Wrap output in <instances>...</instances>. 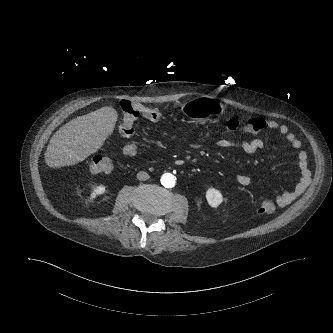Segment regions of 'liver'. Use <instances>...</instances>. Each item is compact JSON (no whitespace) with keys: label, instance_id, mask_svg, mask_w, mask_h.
Returning <instances> with one entry per match:
<instances>
[{"label":"liver","instance_id":"obj_1","mask_svg":"<svg viewBox=\"0 0 333 333\" xmlns=\"http://www.w3.org/2000/svg\"><path fill=\"white\" fill-rule=\"evenodd\" d=\"M117 119V111L104 106L69 121L51 137L44 154L46 164L57 168L85 160L103 146Z\"/></svg>","mask_w":333,"mask_h":333}]
</instances>
